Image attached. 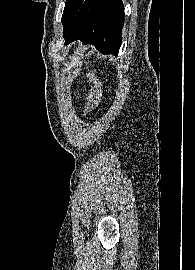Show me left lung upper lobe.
Instances as JSON below:
<instances>
[{
  "mask_svg": "<svg viewBox=\"0 0 195 270\" xmlns=\"http://www.w3.org/2000/svg\"><path fill=\"white\" fill-rule=\"evenodd\" d=\"M83 2L84 0H66L62 15V23L64 29H66L72 22Z\"/></svg>",
  "mask_w": 195,
  "mask_h": 270,
  "instance_id": "obj_1",
  "label": "left lung upper lobe"
}]
</instances>
